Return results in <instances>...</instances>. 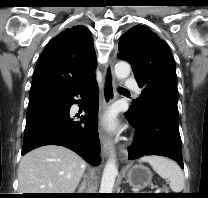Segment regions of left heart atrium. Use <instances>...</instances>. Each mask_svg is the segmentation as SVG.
Here are the masks:
<instances>
[{
  "instance_id": "left-heart-atrium-1",
  "label": "left heart atrium",
  "mask_w": 208,
  "mask_h": 198,
  "mask_svg": "<svg viewBox=\"0 0 208 198\" xmlns=\"http://www.w3.org/2000/svg\"><path fill=\"white\" fill-rule=\"evenodd\" d=\"M104 124L108 129H114L116 126V119H115V114L113 112H109L105 117H104Z\"/></svg>"
}]
</instances>
